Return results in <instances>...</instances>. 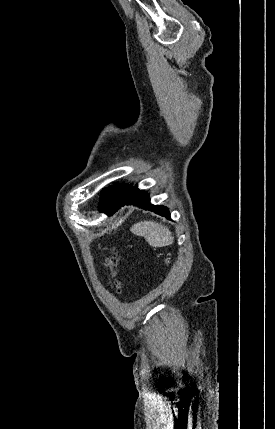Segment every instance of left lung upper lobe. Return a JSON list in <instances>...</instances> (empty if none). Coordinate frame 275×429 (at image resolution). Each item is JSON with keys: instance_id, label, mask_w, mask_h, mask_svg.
<instances>
[{"instance_id": "left-lung-upper-lobe-1", "label": "left lung upper lobe", "mask_w": 275, "mask_h": 429, "mask_svg": "<svg viewBox=\"0 0 275 429\" xmlns=\"http://www.w3.org/2000/svg\"><path fill=\"white\" fill-rule=\"evenodd\" d=\"M131 188L132 184L123 185L120 183L104 188L101 191L99 211L108 215L115 213Z\"/></svg>"}]
</instances>
